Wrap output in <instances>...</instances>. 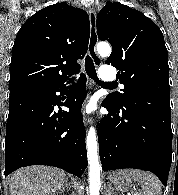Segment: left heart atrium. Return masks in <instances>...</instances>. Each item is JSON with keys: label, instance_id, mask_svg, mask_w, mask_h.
Wrapping results in <instances>:
<instances>
[{"label": "left heart atrium", "instance_id": "1", "mask_svg": "<svg viewBox=\"0 0 178 195\" xmlns=\"http://www.w3.org/2000/svg\"><path fill=\"white\" fill-rule=\"evenodd\" d=\"M93 110V105L92 104H88L86 106V112H91Z\"/></svg>", "mask_w": 178, "mask_h": 195}]
</instances>
